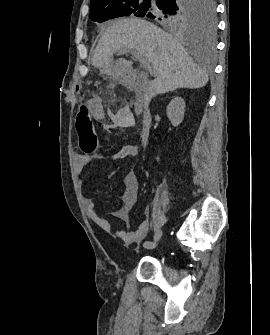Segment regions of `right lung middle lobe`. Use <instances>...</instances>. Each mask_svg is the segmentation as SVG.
<instances>
[{
  "mask_svg": "<svg viewBox=\"0 0 270 335\" xmlns=\"http://www.w3.org/2000/svg\"><path fill=\"white\" fill-rule=\"evenodd\" d=\"M135 15L148 17L172 29H184L198 24L215 28L214 0H111L100 6L90 7L89 18L104 22L108 19Z\"/></svg>",
  "mask_w": 270,
  "mask_h": 335,
  "instance_id": "obj_1",
  "label": "right lung middle lobe"
}]
</instances>
